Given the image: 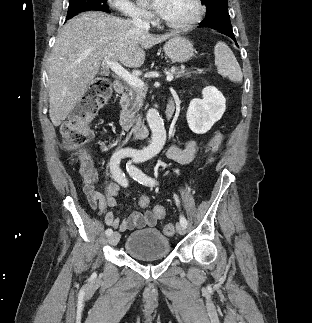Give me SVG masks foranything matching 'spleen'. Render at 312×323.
<instances>
[{"label":"spleen","mask_w":312,"mask_h":323,"mask_svg":"<svg viewBox=\"0 0 312 323\" xmlns=\"http://www.w3.org/2000/svg\"><path fill=\"white\" fill-rule=\"evenodd\" d=\"M215 66L221 76H228L231 82H242L241 68L229 46L224 42H217L214 48Z\"/></svg>","instance_id":"obj_1"}]
</instances>
